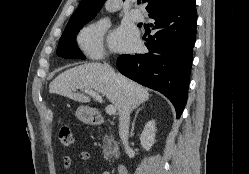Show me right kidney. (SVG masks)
Listing matches in <instances>:
<instances>
[{"instance_id":"right-kidney-1","label":"right kidney","mask_w":249,"mask_h":174,"mask_svg":"<svg viewBox=\"0 0 249 174\" xmlns=\"http://www.w3.org/2000/svg\"><path fill=\"white\" fill-rule=\"evenodd\" d=\"M155 132V121L151 120L145 125L140 136L141 145L146 151H149L155 142Z\"/></svg>"}]
</instances>
